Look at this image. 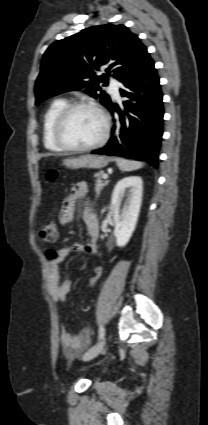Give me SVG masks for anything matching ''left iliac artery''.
<instances>
[{"instance_id":"left-iliac-artery-1","label":"left iliac artery","mask_w":208,"mask_h":425,"mask_svg":"<svg viewBox=\"0 0 208 425\" xmlns=\"http://www.w3.org/2000/svg\"><path fill=\"white\" fill-rule=\"evenodd\" d=\"M105 330L102 325L99 326V339L103 338Z\"/></svg>"}]
</instances>
